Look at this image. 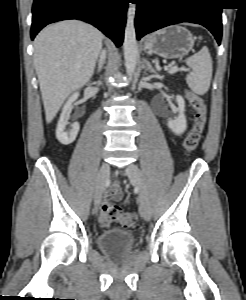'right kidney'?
<instances>
[{
    "mask_svg": "<svg viewBox=\"0 0 246 300\" xmlns=\"http://www.w3.org/2000/svg\"><path fill=\"white\" fill-rule=\"evenodd\" d=\"M79 93L75 92L73 93L69 99L67 100L66 104L63 107L60 119L58 121L57 129H56V138L58 141L63 145H69L77 137L78 131H79V123L75 122L71 125V129L69 131H66V125L68 124L67 118H66V111L68 107L78 98Z\"/></svg>",
    "mask_w": 246,
    "mask_h": 300,
    "instance_id": "1",
    "label": "right kidney"
}]
</instances>
